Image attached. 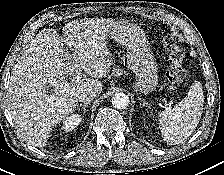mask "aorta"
I'll list each match as a JSON object with an SVG mask.
<instances>
[{
  "mask_svg": "<svg viewBox=\"0 0 224 175\" xmlns=\"http://www.w3.org/2000/svg\"><path fill=\"white\" fill-rule=\"evenodd\" d=\"M130 103L128 95L125 93H116L112 97V105L117 109H125Z\"/></svg>",
  "mask_w": 224,
  "mask_h": 175,
  "instance_id": "obj_1",
  "label": "aorta"
}]
</instances>
